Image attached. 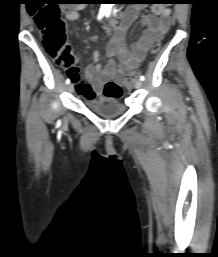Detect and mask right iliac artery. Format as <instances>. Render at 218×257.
Masks as SVG:
<instances>
[{"label":"right iliac artery","mask_w":218,"mask_h":257,"mask_svg":"<svg viewBox=\"0 0 218 257\" xmlns=\"http://www.w3.org/2000/svg\"><path fill=\"white\" fill-rule=\"evenodd\" d=\"M105 15V13H103V12H100L99 14H98V20H100V19H102V17ZM70 83V79L69 78H67L66 79V84L68 85Z\"/></svg>","instance_id":"right-iliac-artery-1"}]
</instances>
